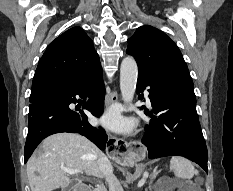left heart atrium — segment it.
Here are the masks:
<instances>
[{
	"mask_svg": "<svg viewBox=\"0 0 233 191\" xmlns=\"http://www.w3.org/2000/svg\"><path fill=\"white\" fill-rule=\"evenodd\" d=\"M98 123L110 130L117 132L129 131L133 126V122L124 118L121 115L120 110L117 108H114L109 112L105 113L98 120Z\"/></svg>",
	"mask_w": 233,
	"mask_h": 191,
	"instance_id": "obj_1",
	"label": "left heart atrium"
}]
</instances>
